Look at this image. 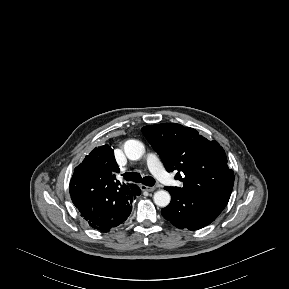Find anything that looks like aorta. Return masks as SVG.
Listing matches in <instances>:
<instances>
[{
	"mask_svg": "<svg viewBox=\"0 0 289 289\" xmlns=\"http://www.w3.org/2000/svg\"><path fill=\"white\" fill-rule=\"evenodd\" d=\"M124 152L128 159L138 160L144 153V146L138 140H128L124 144ZM154 203L159 207H166L169 205L171 197L165 190H159L154 194Z\"/></svg>",
	"mask_w": 289,
	"mask_h": 289,
	"instance_id": "obj_1",
	"label": "aorta"
}]
</instances>
